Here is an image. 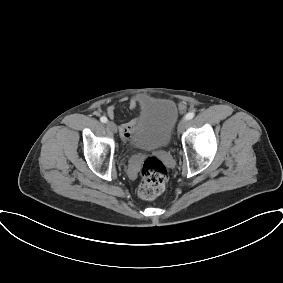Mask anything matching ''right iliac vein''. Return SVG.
Returning a JSON list of instances; mask_svg holds the SVG:
<instances>
[{
	"label": "right iliac vein",
	"instance_id": "right-iliac-vein-1",
	"mask_svg": "<svg viewBox=\"0 0 283 283\" xmlns=\"http://www.w3.org/2000/svg\"><path fill=\"white\" fill-rule=\"evenodd\" d=\"M106 126H107V128H108L109 130H111L112 132H114V133L117 132V126H116V124H115L114 122L108 121V122L106 123Z\"/></svg>",
	"mask_w": 283,
	"mask_h": 283
}]
</instances>
